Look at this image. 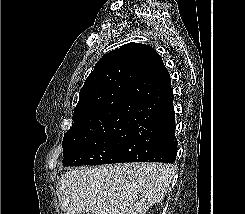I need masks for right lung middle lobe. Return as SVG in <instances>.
<instances>
[{
  "mask_svg": "<svg viewBox=\"0 0 245 214\" xmlns=\"http://www.w3.org/2000/svg\"><path fill=\"white\" fill-rule=\"evenodd\" d=\"M128 133L124 125L96 131H67L64 135L63 165H100L118 162V147Z\"/></svg>",
  "mask_w": 245,
  "mask_h": 214,
  "instance_id": "1",
  "label": "right lung middle lobe"
}]
</instances>
